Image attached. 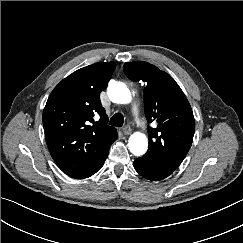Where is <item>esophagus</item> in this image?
<instances>
[{
	"label": "esophagus",
	"mask_w": 243,
	"mask_h": 243,
	"mask_svg": "<svg viewBox=\"0 0 243 243\" xmlns=\"http://www.w3.org/2000/svg\"><path fill=\"white\" fill-rule=\"evenodd\" d=\"M122 131H123V133H124L125 135H129V134H131L132 129H131L129 126H125V127L122 129Z\"/></svg>",
	"instance_id": "esophagus-1"
}]
</instances>
